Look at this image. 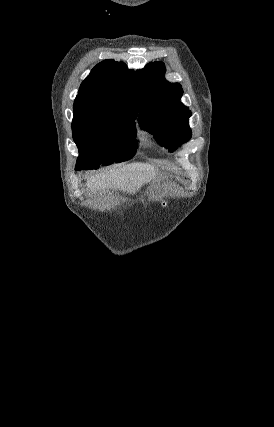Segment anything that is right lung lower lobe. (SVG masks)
Here are the masks:
<instances>
[{
  "label": "right lung lower lobe",
  "mask_w": 274,
  "mask_h": 427,
  "mask_svg": "<svg viewBox=\"0 0 274 427\" xmlns=\"http://www.w3.org/2000/svg\"><path fill=\"white\" fill-rule=\"evenodd\" d=\"M81 169H85V168H77V167H76V170H81ZM85 170H88V169H85Z\"/></svg>",
  "instance_id": "1"
}]
</instances>
